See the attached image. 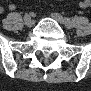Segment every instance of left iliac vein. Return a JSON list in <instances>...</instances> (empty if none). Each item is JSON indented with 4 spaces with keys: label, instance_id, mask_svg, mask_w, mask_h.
<instances>
[{
    "label": "left iliac vein",
    "instance_id": "obj_1",
    "mask_svg": "<svg viewBox=\"0 0 91 91\" xmlns=\"http://www.w3.org/2000/svg\"><path fill=\"white\" fill-rule=\"evenodd\" d=\"M51 17L53 19H55L58 23L66 25L67 27H70L69 25H67L66 20L64 19V17L61 16L60 14H58V13H52Z\"/></svg>",
    "mask_w": 91,
    "mask_h": 91
}]
</instances>
